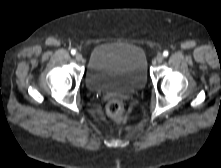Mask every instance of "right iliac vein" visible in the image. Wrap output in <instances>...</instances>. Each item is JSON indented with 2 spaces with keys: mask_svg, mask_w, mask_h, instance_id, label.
<instances>
[{
  "mask_svg": "<svg viewBox=\"0 0 221 168\" xmlns=\"http://www.w3.org/2000/svg\"><path fill=\"white\" fill-rule=\"evenodd\" d=\"M75 59L79 62V61H81L82 60V55L80 54V53H77L76 55H75Z\"/></svg>",
  "mask_w": 221,
  "mask_h": 168,
  "instance_id": "right-iliac-vein-1",
  "label": "right iliac vein"
}]
</instances>
